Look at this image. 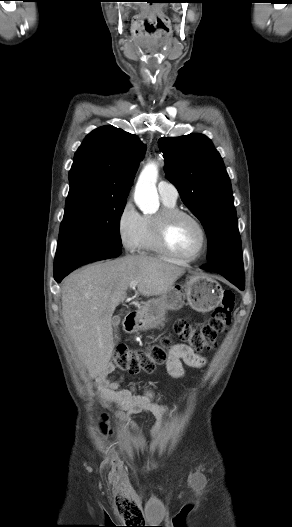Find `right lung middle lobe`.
Instances as JSON below:
<instances>
[{
  "mask_svg": "<svg viewBox=\"0 0 292 527\" xmlns=\"http://www.w3.org/2000/svg\"><path fill=\"white\" fill-rule=\"evenodd\" d=\"M126 199L89 187H70L59 242L102 241L121 248L119 222Z\"/></svg>",
  "mask_w": 292,
  "mask_h": 527,
  "instance_id": "right-lung-middle-lobe-1",
  "label": "right lung middle lobe"
}]
</instances>
